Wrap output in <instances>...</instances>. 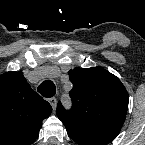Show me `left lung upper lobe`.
<instances>
[{
    "label": "left lung upper lobe",
    "instance_id": "obj_1",
    "mask_svg": "<svg viewBox=\"0 0 145 145\" xmlns=\"http://www.w3.org/2000/svg\"><path fill=\"white\" fill-rule=\"evenodd\" d=\"M68 74L72 108L67 112L59 102L56 110L63 124L121 129L129 102L121 81L102 67L74 68Z\"/></svg>",
    "mask_w": 145,
    "mask_h": 145
}]
</instances>
